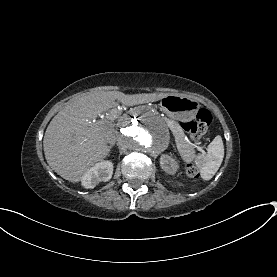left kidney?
Masks as SVG:
<instances>
[{
    "instance_id": "obj_1",
    "label": "left kidney",
    "mask_w": 277,
    "mask_h": 277,
    "mask_svg": "<svg viewBox=\"0 0 277 277\" xmlns=\"http://www.w3.org/2000/svg\"><path fill=\"white\" fill-rule=\"evenodd\" d=\"M161 168L168 174H175L177 163L168 155H163L160 160Z\"/></svg>"
}]
</instances>
